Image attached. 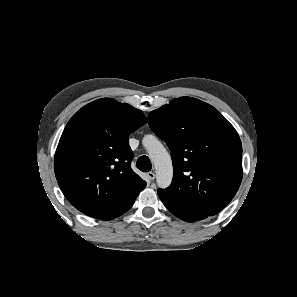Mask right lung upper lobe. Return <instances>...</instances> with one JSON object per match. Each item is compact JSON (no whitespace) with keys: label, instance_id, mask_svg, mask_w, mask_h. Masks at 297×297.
Listing matches in <instances>:
<instances>
[{"label":"right lung upper lobe","instance_id":"obj_1","mask_svg":"<svg viewBox=\"0 0 297 297\" xmlns=\"http://www.w3.org/2000/svg\"><path fill=\"white\" fill-rule=\"evenodd\" d=\"M146 122L142 111L111 98L95 100L73 115L56 149L54 170L75 208L107 221L134 203L146 182L131 169L128 139Z\"/></svg>","mask_w":297,"mask_h":297}]
</instances>
